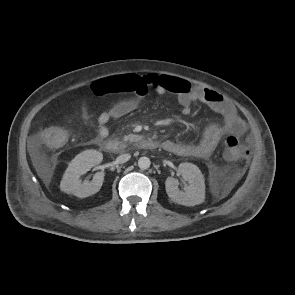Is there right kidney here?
<instances>
[{
  "label": "right kidney",
  "instance_id": "1",
  "mask_svg": "<svg viewBox=\"0 0 295 295\" xmlns=\"http://www.w3.org/2000/svg\"><path fill=\"white\" fill-rule=\"evenodd\" d=\"M103 160L101 152L96 150H85L78 154L66 169L60 189L68 194H73L80 198H85L97 193L103 183L104 173L97 172L92 181L80 180V176L89 171L92 167L100 164Z\"/></svg>",
  "mask_w": 295,
  "mask_h": 295
}]
</instances>
